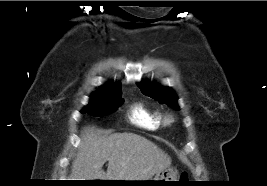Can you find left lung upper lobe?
<instances>
[{"label": "left lung upper lobe", "mask_w": 267, "mask_h": 186, "mask_svg": "<svg viewBox=\"0 0 267 186\" xmlns=\"http://www.w3.org/2000/svg\"><path fill=\"white\" fill-rule=\"evenodd\" d=\"M138 86L144 95L159 101L161 104L165 103L173 109H179L177 96L172 89L151 84V82L140 83Z\"/></svg>", "instance_id": "5c2ea615"}]
</instances>
